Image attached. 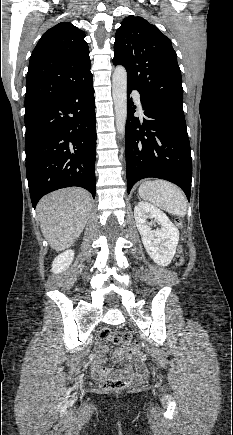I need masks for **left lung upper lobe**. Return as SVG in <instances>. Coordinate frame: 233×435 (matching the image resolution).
Here are the masks:
<instances>
[{
	"label": "left lung upper lobe",
	"instance_id": "5c2ea615",
	"mask_svg": "<svg viewBox=\"0 0 233 435\" xmlns=\"http://www.w3.org/2000/svg\"><path fill=\"white\" fill-rule=\"evenodd\" d=\"M113 64L127 70V83L146 99L180 106L181 71L171 40L142 17H126L117 29Z\"/></svg>",
	"mask_w": 233,
	"mask_h": 435
}]
</instances>
